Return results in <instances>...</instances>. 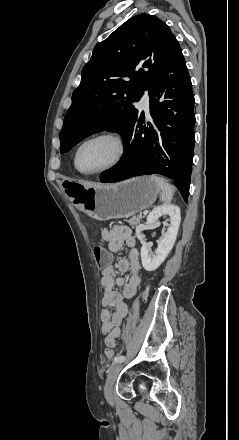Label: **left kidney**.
<instances>
[{"mask_svg":"<svg viewBox=\"0 0 239 440\" xmlns=\"http://www.w3.org/2000/svg\"><path fill=\"white\" fill-rule=\"evenodd\" d=\"M161 216H169L170 224L167 228V232H163L162 238L160 242H158V248L154 252V256L150 254L151 246H148V244H143L141 248L142 266L147 272H154V270H157V268L163 264L177 238L181 220L180 208L175 206V204H163V206H158V208H154L149 216H147L148 224H158V220Z\"/></svg>","mask_w":239,"mask_h":440,"instance_id":"left-kidney-1","label":"left kidney"}]
</instances>
